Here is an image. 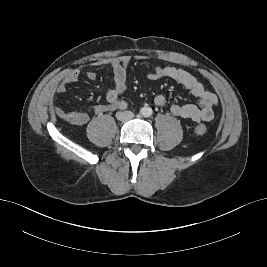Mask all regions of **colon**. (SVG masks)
<instances>
[{"label":"colon","instance_id":"obj_1","mask_svg":"<svg viewBox=\"0 0 267 267\" xmlns=\"http://www.w3.org/2000/svg\"><path fill=\"white\" fill-rule=\"evenodd\" d=\"M194 131L198 135H203L207 132V128L203 125H198L195 127Z\"/></svg>","mask_w":267,"mask_h":267}]
</instances>
